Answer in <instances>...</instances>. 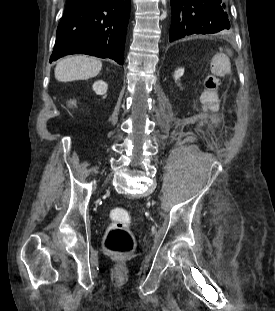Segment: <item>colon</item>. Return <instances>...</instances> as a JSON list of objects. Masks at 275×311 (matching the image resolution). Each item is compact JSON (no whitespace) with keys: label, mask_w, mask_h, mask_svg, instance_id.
Listing matches in <instances>:
<instances>
[{"label":"colon","mask_w":275,"mask_h":311,"mask_svg":"<svg viewBox=\"0 0 275 311\" xmlns=\"http://www.w3.org/2000/svg\"><path fill=\"white\" fill-rule=\"evenodd\" d=\"M229 71L230 67L227 74ZM110 217L112 222L104 236V249L118 256H127L134 251L136 245L135 238L128 227L131 222V216L126 209L113 208L110 211Z\"/></svg>","instance_id":"1"}]
</instances>
